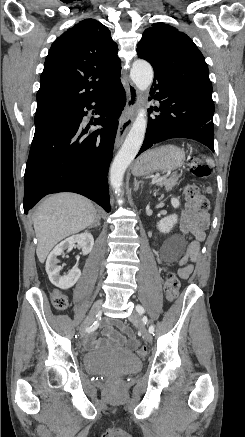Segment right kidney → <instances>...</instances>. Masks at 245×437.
Segmentation results:
<instances>
[{"label": "right kidney", "instance_id": "1", "mask_svg": "<svg viewBox=\"0 0 245 437\" xmlns=\"http://www.w3.org/2000/svg\"><path fill=\"white\" fill-rule=\"evenodd\" d=\"M75 243L81 246L83 255H87L93 249L94 238L92 234L88 232L73 235L60 242L51 251L46 261V272L49 280L53 285L63 290L71 288L81 276L78 265L74 266L67 275H60L62 267L57 265V257L60 256L64 250L71 251Z\"/></svg>", "mask_w": 245, "mask_h": 437}]
</instances>
